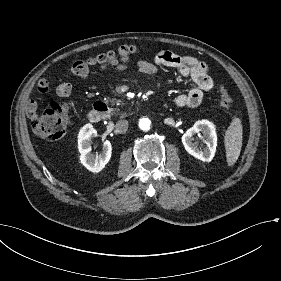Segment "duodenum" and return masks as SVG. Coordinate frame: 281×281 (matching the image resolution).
Here are the masks:
<instances>
[{"mask_svg":"<svg viewBox=\"0 0 281 281\" xmlns=\"http://www.w3.org/2000/svg\"><path fill=\"white\" fill-rule=\"evenodd\" d=\"M110 112L108 104L104 102L97 101L93 104L92 109L89 111L88 120L91 123H99L104 120ZM126 112L121 113V117L125 116Z\"/></svg>","mask_w":281,"mask_h":281,"instance_id":"obj_1","label":"duodenum"}]
</instances>
